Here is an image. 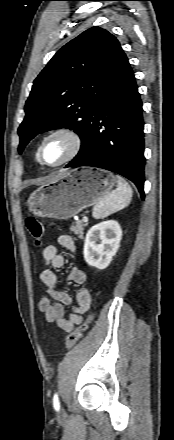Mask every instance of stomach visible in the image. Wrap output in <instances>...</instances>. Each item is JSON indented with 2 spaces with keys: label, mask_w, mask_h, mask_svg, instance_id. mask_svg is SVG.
<instances>
[{
  "label": "stomach",
  "mask_w": 174,
  "mask_h": 440,
  "mask_svg": "<svg viewBox=\"0 0 174 440\" xmlns=\"http://www.w3.org/2000/svg\"><path fill=\"white\" fill-rule=\"evenodd\" d=\"M115 183L109 171L73 169L36 189L28 199L29 211L40 217L67 220L110 193Z\"/></svg>",
  "instance_id": "obj_1"
}]
</instances>
